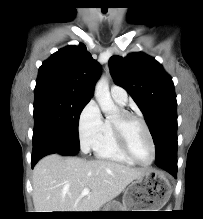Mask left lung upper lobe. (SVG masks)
I'll use <instances>...</instances> for the list:
<instances>
[{
	"label": "left lung upper lobe",
	"instance_id": "5c2ea615",
	"mask_svg": "<svg viewBox=\"0 0 203 219\" xmlns=\"http://www.w3.org/2000/svg\"><path fill=\"white\" fill-rule=\"evenodd\" d=\"M109 67L117 85L123 87L142 111L149 126L156 160L177 149V102L172 78L154 58L144 53L112 56Z\"/></svg>",
	"mask_w": 203,
	"mask_h": 219
}]
</instances>
